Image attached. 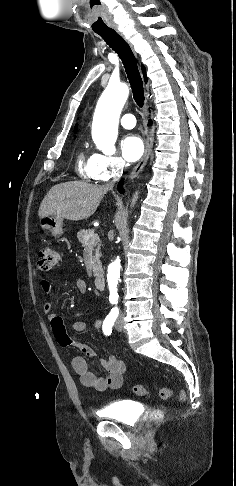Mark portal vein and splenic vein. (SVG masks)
Instances as JSON below:
<instances>
[{"instance_id": "1", "label": "portal vein and splenic vein", "mask_w": 236, "mask_h": 486, "mask_svg": "<svg viewBox=\"0 0 236 486\" xmlns=\"http://www.w3.org/2000/svg\"><path fill=\"white\" fill-rule=\"evenodd\" d=\"M96 238H97V240H99V237H98V235H96ZM88 239H89V238H87V240H88Z\"/></svg>"}]
</instances>
